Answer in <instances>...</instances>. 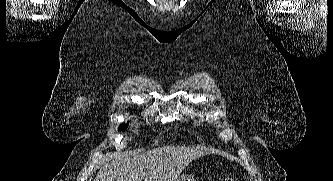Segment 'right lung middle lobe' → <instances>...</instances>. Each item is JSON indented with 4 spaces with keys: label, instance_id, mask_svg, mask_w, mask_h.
Masks as SVG:
<instances>
[{
    "label": "right lung middle lobe",
    "instance_id": "1",
    "mask_svg": "<svg viewBox=\"0 0 333 181\" xmlns=\"http://www.w3.org/2000/svg\"><path fill=\"white\" fill-rule=\"evenodd\" d=\"M127 127H128V125H126V124L120 125L119 130H124V129H126Z\"/></svg>",
    "mask_w": 333,
    "mask_h": 181
}]
</instances>
